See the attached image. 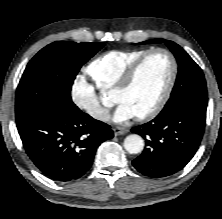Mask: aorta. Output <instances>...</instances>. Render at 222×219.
<instances>
[{"instance_id": "obj_1", "label": "aorta", "mask_w": 222, "mask_h": 219, "mask_svg": "<svg viewBox=\"0 0 222 219\" xmlns=\"http://www.w3.org/2000/svg\"><path fill=\"white\" fill-rule=\"evenodd\" d=\"M124 148L130 154L140 153L144 148V140L137 134L128 135L124 140Z\"/></svg>"}]
</instances>
